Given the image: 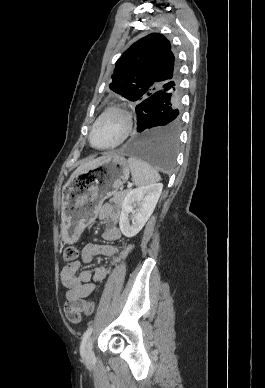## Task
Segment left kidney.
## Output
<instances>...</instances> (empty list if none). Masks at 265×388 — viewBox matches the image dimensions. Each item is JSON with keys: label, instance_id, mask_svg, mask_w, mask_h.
Here are the masks:
<instances>
[{"label": "left kidney", "instance_id": "5707ae66", "mask_svg": "<svg viewBox=\"0 0 265 388\" xmlns=\"http://www.w3.org/2000/svg\"><path fill=\"white\" fill-rule=\"evenodd\" d=\"M162 190L163 184H150V186H142V188L127 192L123 200L119 222L123 236L133 238L142 230L151 214H153ZM133 204H136L137 210H133ZM131 212L134 216L132 226L129 222Z\"/></svg>", "mask_w": 265, "mask_h": 388}]
</instances>
